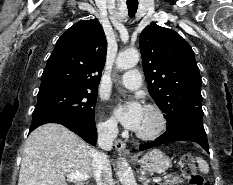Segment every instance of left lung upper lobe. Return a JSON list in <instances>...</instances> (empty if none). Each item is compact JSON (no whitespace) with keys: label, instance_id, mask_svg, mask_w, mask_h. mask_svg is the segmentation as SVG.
<instances>
[{"label":"left lung upper lobe","instance_id":"left-lung-upper-lobe-1","mask_svg":"<svg viewBox=\"0 0 233 185\" xmlns=\"http://www.w3.org/2000/svg\"><path fill=\"white\" fill-rule=\"evenodd\" d=\"M140 51L149 93L165 113L167 128L202 110L194 52L177 32L151 23L140 35Z\"/></svg>","mask_w":233,"mask_h":185}]
</instances>
